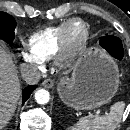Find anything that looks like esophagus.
<instances>
[{"label":"esophagus","instance_id":"34e87169","mask_svg":"<svg viewBox=\"0 0 130 130\" xmlns=\"http://www.w3.org/2000/svg\"><path fill=\"white\" fill-rule=\"evenodd\" d=\"M42 86L45 87V88H52L54 86V82L52 79L50 78H47L45 79L43 82H42Z\"/></svg>","mask_w":130,"mask_h":130}]
</instances>
